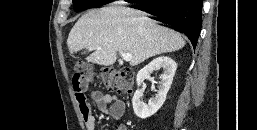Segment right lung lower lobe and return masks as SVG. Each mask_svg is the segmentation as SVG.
Wrapping results in <instances>:
<instances>
[{
    "mask_svg": "<svg viewBox=\"0 0 257 130\" xmlns=\"http://www.w3.org/2000/svg\"><path fill=\"white\" fill-rule=\"evenodd\" d=\"M203 0H165L145 5L143 10L170 28L185 34L196 47L202 26Z\"/></svg>",
    "mask_w": 257,
    "mask_h": 130,
    "instance_id": "1",
    "label": "right lung lower lobe"
}]
</instances>
